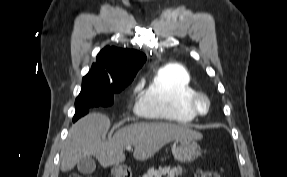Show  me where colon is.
Listing matches in <instances>:
<instances>
[{
    "label": "colon",
    "instance_id": "obj_1",
    "mask_svg": "<svg viewBox=\"0 0 287 177\" xmlns=\"http://www.w3.org/2000/svg\"><path fill=\"white\" fill-rule=\"evenodd\" d=\"M69 177H82L79 174H72ZM195 177H221L218 171L213 169H200L196 172Z\"/></svg>",
    "mask_w": 287,
    "mask_h": 177
}]
</instances>
